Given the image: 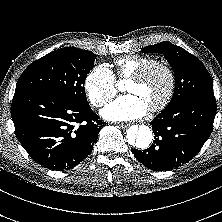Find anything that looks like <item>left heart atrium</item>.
<instances>
[{
	"label": "left heart atrium",
	"mask_w": 222,
	"mask_h": 222,
	"mask_svg": "<svg viewBox=\"0 0 222 222\" xmlns=\"http://www.w3.org/2000/svg\"><path fill=\"white\" fill-rule=\"evenodd\" d=\"M148 109L142 98L137 94L130 93L106 106L101 114L110 121H130L143 117Z\"/></svg>",
	"instance_id": "1"
}]
</instances>
